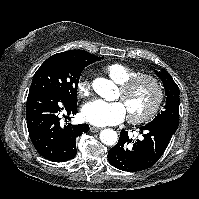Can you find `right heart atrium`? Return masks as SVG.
Segmentation results:
<instances>
[{
  "mask_svg": "<svg viewBox=\"0 0 199 199\" xmlns=\"http://www.w3.org/2000/svg\"><path fill=\"white\" fill-rule=\"evenodd\" d=\"M77 93L80 97L89 96L91 92V82L86 77H81L76 84Z\"/></svg>",
  "mask_w": 199,
  "mask_h": 199,
  "instance_id": "d8ad5b80",
  "label": "right heart atrium"
}]
</instances>
